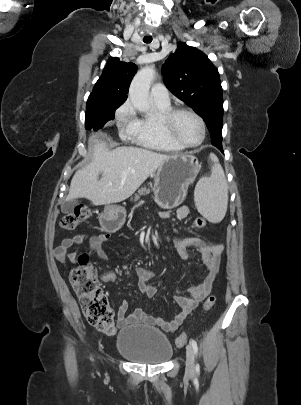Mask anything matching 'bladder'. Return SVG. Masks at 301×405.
<instances>
[{"mask_svg":"<svg viewBox=\"0 0 301 405\" xmlns=\"http://www.w3.org/2000/svg\"><path fill=\"white\" fill-rule=\"evenodd\" d=\"M116 348L125 358L143 364H162L169 361L173 354L172 345L164 333L142 325L121 329Z\"/></svg>","mask_w":301,"mask_h":405,"instance_id":"31cf9c89","label":"bladder"}]
</instances>
